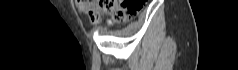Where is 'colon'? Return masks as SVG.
Wrapping results in <instances>:
<instances>
[{"label":"colon","mask_w":238,"mask_h":70,"mask_svg":"<svg viewBox=\"0 0 238 70\" xmlns=\"http://www.w3.org/2000/svg\"><path fill=\"white\" fill-rule=\"evenodd\" d=\"M76 3L92 24H98L104 15L116 20H129L142 7V0H76Z\"/></svg>","instance_id":"1"}]
</instances>
